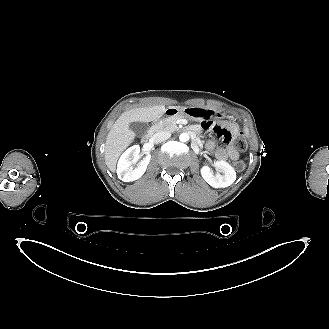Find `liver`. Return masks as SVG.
<instances>
[{
	"label": "liver",
	"instance_id": "6515ba94",
	"mask_svg": "<svg viewBox=\"0 0 329 329\" xmlns=\"http://www.w3.org/2000/svg\"><path fill=\"white\" fill-rule=\"evenodd\" d=\"M181 108V106H168V108ZM165 105H154L133 108L123 112L113 124L107 134L105 145V164L111 172H115L120 154L130 145L135 138V133L130 130L132 122H152L164 115Z\"/></svg>",
	"mask_w": 329,
	"mask_h": 329
}]
</instances>
